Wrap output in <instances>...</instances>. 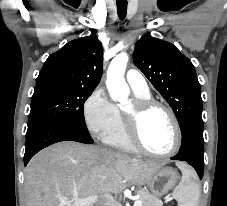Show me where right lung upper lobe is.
<instances>
[{"label":"right lung upper lobe","instance_id":"1","mask_svg":"<svg viewBox=\"0 0 227 206\" xmlns=\"http://www.w3.org/2000/svg\"><path fill=\"white\" fill-rule=\"evenodd\" d=\"M102 64L103 49L96 35L75 39L48 57L36 84L95 89L102 75Z\"/></svg>","mask_w":227,"mask_h":206}]
</instances>
